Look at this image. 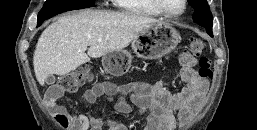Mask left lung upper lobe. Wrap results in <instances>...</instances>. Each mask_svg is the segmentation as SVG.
Returning a JSON list of instances; mask_svg holds the SVG:
<instances>
[{
	"label": "left lung upper lobe",
	"mask_w": 257,
	"mask_h": 130,
	"mask_svg": "<svg viewBox=\"0 0 257 130\" xmlns=\"http://www.w3.org/2000/svg\"><path fill=\"white\" fill-rule=\"evenodd\" d=\"M188 2L195 11L193 15L194 22L204 26L207 32L212 35L213 17L207 0H188Z\"/></svg>",
	"instance_id": "left-lung-upper-lobe-1"
}]
</instances>
